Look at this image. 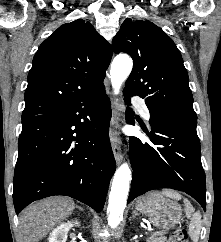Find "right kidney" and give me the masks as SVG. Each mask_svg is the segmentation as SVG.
<instances>
[{
  "mask_svg": "<svg viewBox=\"0 0 221 242\" xmlns=\"http://www.w3.org/2000/svg\"><path fill=\"white\" fill-rule=\"evenodd\" d=\"M79 221H68L66 223H62L59 226H57L53 231L50 233V236L48 238L49 242H66L67 240V233L68 231L74 227L79 226Z\"/></svg>",
  "mask_w": 221,
  "mask_h": 242,
  "instance_id": "1",
  "label": "right kidney"
}]
</instances>
